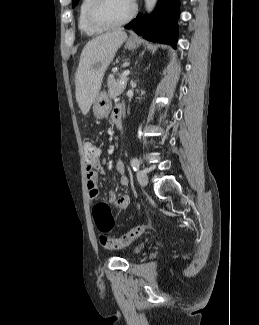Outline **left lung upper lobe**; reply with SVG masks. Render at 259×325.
I'll use <instances>...</instances> for the list:
<instances>
[{
  "mask_svg": "<svg viewBox=\"0 0 259 325\" xmlns=\"http://www.w3.org/2000/svg\"><path fill=\"white\" fill-rule=\"evenodd\" d=\"M77 2H78V0H73V1H72V5H73V7L76 6Z\"/></svg>",
  "mask_w": 259,
  "mask_h": 325,
  "instance_id": "5c2ea615",
  "label": "left lung upper lobe"
}]
</instances>
